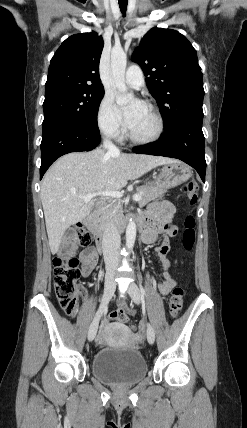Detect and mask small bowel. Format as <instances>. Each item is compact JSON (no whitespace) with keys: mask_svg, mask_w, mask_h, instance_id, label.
Here are the masks:
<instances>
[{"mask_svg":"<svg viewBox=\"0 0 247 428\" xmlns=\"http://www.w3.org/2000/svg\"><path fill=\"white\" fill-rule=\"evenodd\" d=\"M174 213L175 208L171 202L161 201L155 203L151 209L141 217L145 223L142 232L143 241L146 243L154 242L158 233L162 230L169 236H175L177 229L172 222ZM168 251L169 245L166 242L154 249L157 259L163 266V281L159 284V290L163 296L168 295L175 286V280L170 273L171 268L174 266V262L167 257ZM81 262L82 274L84 277H88L97 263L96 251L92 248L83 251L81 254ZM119 306L120 308L118 310H125L127 308L122 300L119 302ZM104 327H107L106 323H104ZM141 338L140 334L131 333L128 337V342L134 344L139 342ZM106 342L104 333H100L97 336V343L99 345H104Z\"/></svg>","mask_w":247,"mask_h":428,"instance_id":"obj_1","label":"small bowel"}]
</instances>
